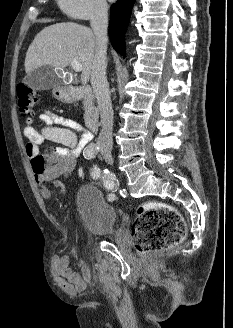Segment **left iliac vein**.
<instances>
[{"label": "left iliac vein", "instance_id": "4c4485c4", "mask_svg": "<svg viewBox=\"0 0 233 328\" xmlns=\"http://www.w3.org/2000/svg\"><path fill=\"white\" fill-rule=\"evenodd\" d=\"M102 155H103V158L104 160L108 163V164H112L113 163V158H112V155L109 153H106V152H102Z\"/></svg>", "mask_w": 233, "mask_h": 328}]
</instances>
